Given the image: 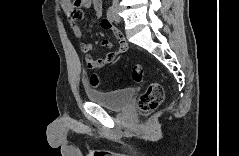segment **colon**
Here are the masks:
<instances>
[{"label": "colon", "instance_id": "obj_1", "mask_svg": "<svg viewBox=\"0 0 239 156\" xmlns=\"http://www.w3.org/2000/svg\"><path fill=\"white\" fill-rule=\"evenodd\" d=\"M145 77L144 68L141 65H135L132 69V78L135 82H142ZM92 86H99L100 80L96 75L90 77ZM164 100V90L158 83L150 84L145 92L138 99V109L142 114H149L156 110Z\"/></svg>", "mask_w": 239, "mask_h": 156}]
</instances>
